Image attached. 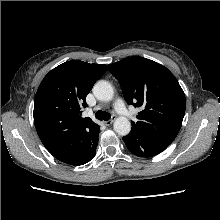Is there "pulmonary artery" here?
Returning a JSON list of instances; mask_svg holds the SVG:
<instances>
[{"instance_id":"e3ab8cb5","label":"pulmonary artery","mask_w":220,"mask_h":220,"mask_svg":"<svg viewBox=\"0 0 220 220\" xmlns=\"http://www.w3.org/2000/svg\"><path fill=\"white\" fill-rule=\"evenodd\" d=\"M114 108L117 111L118 114L126 116L127 110L126 107L121 99H117L114 103Z\"/></svg>"}]
</instances>
